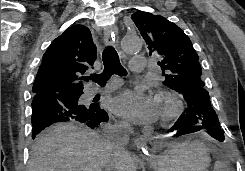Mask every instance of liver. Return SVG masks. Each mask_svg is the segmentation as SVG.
Here are the masks:
<instances>
[{"instance_id": "obj_1", "label": "liver", "mask_w": 245, "mask_h": 171, "mask_svg": "<svg viewBox=\"0 0 245 171\" xmlns=\"http://www.w3.org/2000/svg\"><path fill=\"white\" fill-rule=\"evenodd\" d=\"M95 131L73 124H56L42 132L34 145L28 171H102L106 162L116 171H136L129 153L118 158Z\"/></svg>"}]
</instances>
